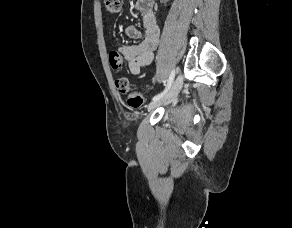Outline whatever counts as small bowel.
Wrapping results in <instances>:
<instances>
[{
	"instance_id": "1",
	"label": "small bowel",
	"mask_w": 292,
	"mask_h": 228,
	"mask_svg": "<svg viewBox=\"0 0 292 228\" xmlns=\"http://www.w3.org/2000/svg\"><path fill=\"white\" fill-rule=\"evenodd\" d=\"M154 0H137L136 9L141 15L143 31L136 26H127L125 34L131 38H140L141 41L134 45H121L116 52L119 57L128 62L132 75H140L152 62L154 51L157 48L160 29L153 11Z\"/></svg>"
}]
</instances>
